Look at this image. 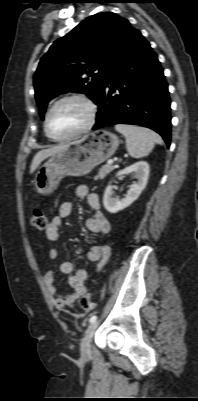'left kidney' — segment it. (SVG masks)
Returning <instances> with one entry per match:
<instances>
[{"mask_svg":"<svg viewBox=\"0 0 198 401\" xmlns=\"http://www.w3.org/2000/svg\"><path fill=\"white\" fill-rule=\"evenodd\" d=\"M134 173L137 178V183L132 184L124 199H119L114 195L111 182L104 192L103 204L105 209L110 213H117L125 209L138 199L142 191L145 189L149 177V164L145 161H139L125 169L119 171L116 175L121 176L124 174Z\"/></svg>","mask_w":198,"mask_h":401,"instance_id":"5707ae66","label":"left kidney"}]
</instances>
